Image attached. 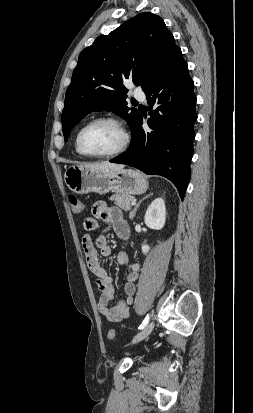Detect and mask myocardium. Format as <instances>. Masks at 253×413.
Masks as SVG:
<instances>
[{"instance_id": "f54148a6", "label": "myocardium", "mask_w": 253, "mask_h": 413, "mask_svg": "<svg viewBox=\"0 0 253 413\" xmlns=\"http://www.w3.org/2000/svg\"><path fill=\"white\" fill-rule=\"evenodd\" d=\"M96 123H110L112 125H114L121 133L122 135V141L120 146L112 151V152H108V153H102V154H92V153H88L86 152L83 148H82V144H81V138H82V134L84 133V131L90 127L91 125H94ZM130 144V134L127 130V128L125 127V125L118 120L115 117H111V116H100V117H96L90 121H88L87 123H85L78 131L77 135H76V140H75V146L76 149L78 151L79 154L85 156V157H89V158H110V157H115L118 156L122 153H124L128 146Z\"/></svg>"}]
</instances>
